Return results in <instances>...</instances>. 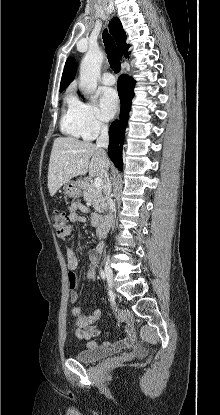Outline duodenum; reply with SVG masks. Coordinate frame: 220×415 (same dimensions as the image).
<instances>
[{
	"mask_svg": "<svg viewBox=\"0 0 220 415\" xmlns=\"http://www.w3.org/2000/svg\"><path fill=\"white\" fill-rule=\"evenodd\" d=\"M111 218L112 212L110 210H107L106 216L104 218H101V221L98 224V234L100 238H105V236L107 235L108 226Z\"/></svg>",
	"mask_w": 220,
	"mask_h": 415,
	"instance_id": "410a0bca",
	"label": "duodenum"
}]
</instances>
